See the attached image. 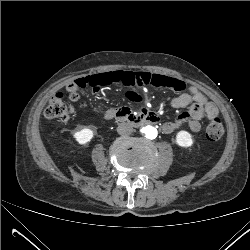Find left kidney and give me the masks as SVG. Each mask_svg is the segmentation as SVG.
I'll use <instances>...</instances> for the list:
<instances>
[{
    "instance_id": "obj_1",
    "label": "left kidney",
    "mask_w": 250,
    "mask_h": 250,
    "mask_svg": "<svg viewBox=\"0 0 250 250\" xmlns=\"http://www.w3.org/2000/svg\"><path fill=\"white\" fill-rule=\"evenodd\" d=\"M176 144L181 147H191L193 145V138L192 135L185 131L181 130L176 135Z\"/></svg>"
}]
</instances>
